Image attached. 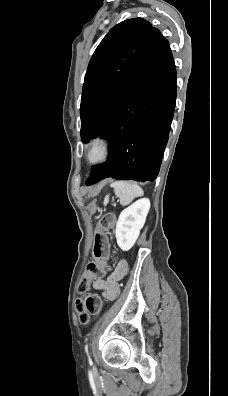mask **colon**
Segmentation results:
<instances>
[{
	"mask_svg": "<svg viewBox=\"0 0 228 396\" xmlns=\"http://www.w3.org/2000/svg\"><path fill=\"white\" fill-rule=\"evenodd\" d=\"M116 217L112 213H106L99 217L93 247L94 260L90 262L83 273L78 285V291L86 294L84 298L76 301V310L82 323L88 322L91 316L98 314L102 309V300L97 295L90 293V283L103 274V266L106 259L107 238L106 233L113 230Z\"/></svg>",
	"mask_w": 228,
	"mask_h": 396,
	"instance_id": "5ec220e1",
	"label": "colon"
}]
</instances>
